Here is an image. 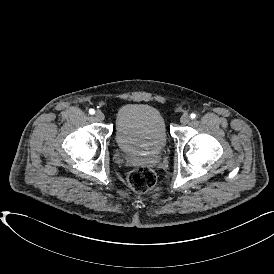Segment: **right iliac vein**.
I'll return each mask as SVG.
<instances>
[{
    "label": "right iliac vein",
    "mask_w": 274,
    "mask_h": 274,
    "mask_svg": "<svg viewBox=\"0 0 274 274\" xmlns=\"http://www.w3.org/2000/svg\"><path fill=\"white\" fill-rule=\"evenodd\" d=\"M95 119L97 121H103L105 118V115L103 112H101L100 110L96 111L95 115H94Z\"/></svg>",
    "instance_id": "1"
}]
</instances>
